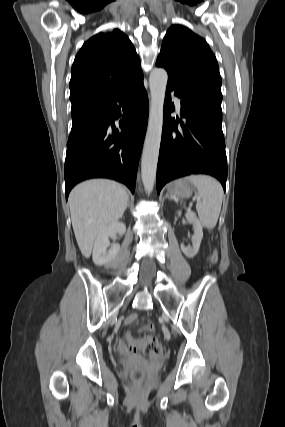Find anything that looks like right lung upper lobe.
Segmentation results:
<instances>
[{"mask_svg":"<svg viewBox=\"0 0 285 427\" xmlns=\"http://www.w3.org/2000/svg\"><path fill=\"white\" fill-rule=\"evenodd\" d=\"M143 77L140 59L119 29L99 33L85 42L71 69V112L100 100Z\"/></svg>","mask_w":285,"mask_h":427,"instance_id":"cb5924a9","label":"right lung upper lobe"}]
</instances>
